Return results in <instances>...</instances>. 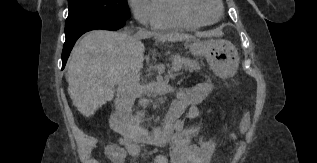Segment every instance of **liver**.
I'll list each match as a JSON object with an SVG mask.
<instances>
[{
    "instance_id": "liver-1",
    "label": "liver",
    "mask_w": 317,
    "mask_h": 163,
    "mask_svg": "<svg viewBox=\"0 0 317 163\" xmlns=\"http://www.w3.org/2000/svg\"><path fill=\"white\" fill-rule=\"evenodd\" d=\"M177 42L193 36L178 33L144 35L129 32L93 30L73 48L67 64L68 93L79 112L91 117L97 109L114 98L115 89L127 72L139 73L143 67L144 38Z\"/></svg>"
}]
</instances>
